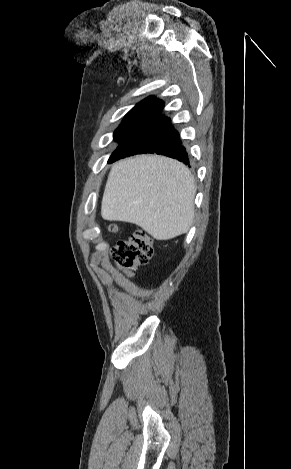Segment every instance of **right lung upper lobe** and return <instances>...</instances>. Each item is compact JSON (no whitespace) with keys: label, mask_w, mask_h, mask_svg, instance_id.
I'll list each match as a JSON object with an SVG mask.
<instances>
[{"label":"right lung upper lobe","mask_w":291,"mask_h":469,"mask_svg":"<svg viewBox=\"0 0 291 469\" xmlns=\"http://www.w3.org/2000/svg\"><path fill=\"white\" fill-rule=\"evenodd\" d=\"M164 108V102L155 97H148L132 108L129 113L145 114L155 117L159 115Z\"/></svg>","instance_id":"right-lung-upper-lobe-1"}]
</instances>
